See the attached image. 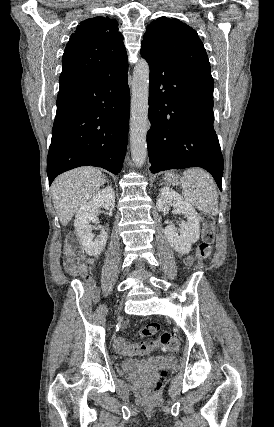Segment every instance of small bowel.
Instances as JSON below:
<instances>
[{"label": "small bowel", "mask_w": 274, "mask_h": 427, "mask_svg": "<svg viewBox=\"0 0 274 427\" xmlns=\"http://www.w3.org/2000/svg\"><path fill=\"white\" fill-rule=\"evenodd\" d=\"M82 258L84 259V261H85V263L86 264H81L80 266H79V272L81 273V274H83V275H86L87 273H88V265L89 266H96L97 265V263H96V261H95V259L94 258H92V257H89V256H87L86 254H83L82 255Z\"/></svg>", "instance_id": "c3829d8e"}]
</instances>
